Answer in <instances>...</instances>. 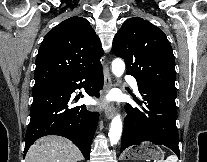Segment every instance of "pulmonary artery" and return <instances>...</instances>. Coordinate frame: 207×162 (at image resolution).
Wrapping results in <instances>:
<instances>
[{"label": "pulmonary artery", "instance_id": "1", "mask_svg": "<svg viewBox=\"0 0 207 162\" xmlns=\"http://www.w3.org/2000/svg\"><path fill=\"white\" fill-rule=\"evenodd\" d=\"M127 81H128V84L132 87V89L135 91V92H139V86L136 82V80L131 77V76H128L127 77Z\"/></svg>", "mask_w": 207, "mask_h": 162}]
</instances>
